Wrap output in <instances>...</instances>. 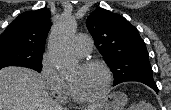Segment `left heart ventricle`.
<instances>
[{"label": "left heart ventricle", "instance_id": "b2bd125f", "mask_svg": "<svg viewBox=\"0 0 171 110\" xmlns=\"http://www.w3.org/2000/svg\"><path fill=\"white\" fill-rule=\"evenodd\" d=\"M75 92L82 97H91L103 89L106 81L105 73L98 67L83 69L78 66L69 76Z\"/></svg>", "mask_w": 171, "mask_h": 110}]
</instances>
